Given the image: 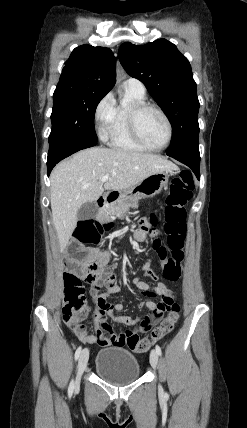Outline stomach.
I'll return each mask as SVG.
<instances>
[{"label":"stomach","mask_w":247,"mask_h":428,"mask_svg":"<svg viewBox=\"0 0 247 428\" xmlns=\"http://www.w3.org/2000/svg\"><path fill=\"white\" fill-rule=\"evenodd\" d=\"M174 170L155 173L139 184L120 192V197L128 203H137L143 197H153L167 187L169 176L175 174Z\"/></svg>","instance_id":"obj_1"}]
</instances>
